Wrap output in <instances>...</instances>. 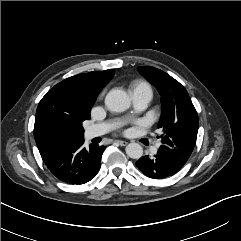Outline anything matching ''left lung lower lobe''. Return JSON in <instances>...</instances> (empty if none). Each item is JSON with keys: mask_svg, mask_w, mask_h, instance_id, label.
<instances>
[{"mask_svg": "<svg viewBox=\"0 0 241 241\" xmlns=\"http://www.w3.org/2000/svg\"><path fill=\"white\" fill-rule=\"evenodd\" d=\"M136 166L144 175L153 179H163L172 176L182 168L159 152L153 157H141L136 162Z\"/></svg>", "mask_w": 241, "mask_h": 241, "instance_id": "left-lung-lower-lobe-1", "label": "left lung lower lobe"}]
</instances>
